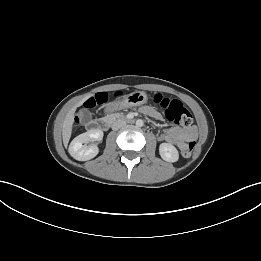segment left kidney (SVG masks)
<instances>
[{
    "mask_svg": "<svg viewBox=\"0 0 261 261\" xmlns=\"http://www.w3.org/2000/svg\"><path fill=\"white\" fill-rule=\"evenodd\" d=\"M159 153L161 158L167 162H176L179 159L178 150L169 143L160 144Z\"/></svg>",
    "mask_w": 261,
    "mask_h": 261,
    "instance_id": "1",
    "label": "left kidney"
}]
</instances>
